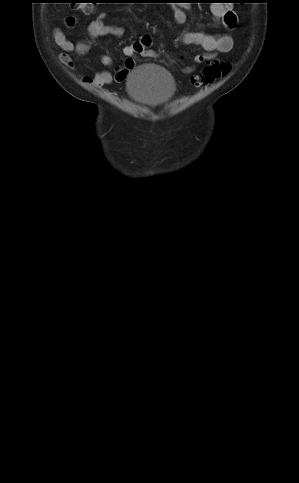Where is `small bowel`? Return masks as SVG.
<instances>
[{"label": "small bowel", "instance_id": "c3829d8e", "mask_svg": "<svg viewBox=\"0 0 299 483\" xmlns=\"http://www.w3.org/2000/svg\"><path fill=\"white\" fill-rule=\"evenodd\" d=\"M222 2H215L211 6V13L213 17L221 22L222 26L227 30H233L237 24V16L233 11L227 10ZM173 18L176 23L184 24L186 22V14L181 6L173 5L171 7ZM106 14L101 13L90 22L88 31L91 41L112 35L115 37H121L125 33V29L122 26L115 24L105 23ZM76 24V18L74 16H68L66 18V25L73 27ZM53 39L55 44L61 48L63 52L60 53V60L68 67H73V61L70 56L71 53L76 55L85 54L90 48L92 42L86 41L78 44L72 43L66 36V34L59 28L54 29ZM182 40L185 44L200 45L206 53L197 54L195 56V63L202 64L217 54L229 53L233 48V38L229 34L211 35L203 32L188 31L183 34ZM152 44V38L149 35L141 36L138 41L132 42L123 47V54L126 56V60L122 66H119L114 73L108 70L98 71L93 75L82 76V82L88 86L99 88L104 85L110 84L113 81L121 83L125 81L129 71L135 66V57L141 56H153L149 48ZM100 62L104 66H111L113 59L109 55H103L100 58ZM194 68L189 67L185 70L186 73L193 72Z\"/></svg>", "mask_w": 299, "mask_h": 483}]
</instances>
